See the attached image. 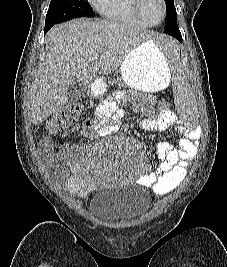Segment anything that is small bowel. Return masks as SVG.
Wrapping results in <instances>:
<instances>
[{
  "instance_id": "c3829d8e",
  "label": "small bowel",
  "mask_w": 227,
  "mask_h": 267,
  "mask_svg": "<svg viewBox=\"0 0 227 267\" xmlns=\"http://www.w3.org/2000/svg\"><path fill=\"white\" fill-rule=\"evenodd\" d=\"M116 108L114 98L108 97L96 107L91 121H86L82 127L75 126L70 131L81 128L82 134L87 138L108 136L118 129L115 119ZM147 113L148 115L139 122L142 130L159 131L175 128L180 136L179 148L168 142H160L156 145L158 168L156 172L141 177L142 183L155 193H167L180 185L185 176V167L194 160L199 147L198 134L196 131L179 130L177 117L168 109L159 112L147 110ZM40 150L49 162L54 161V153L49 141L43 140ZM61 155L66 159L67 166L71 168V173L65 178V190L81 196L88 194L91 191V181L84 164L78 160L71 149H64Z\"/></svg>"
}]
</instances>
